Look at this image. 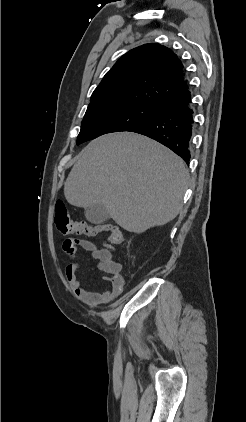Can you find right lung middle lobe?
Here are the masks:
<instances>
[{"instance_id": "1", "label": "right lung middle lobe", "mask_w": 246, "mask_h": 422, "mask_svg": "<svg viewBox=\"0 0 246 422\" xmlns=\"http://www.w3.org/2000/svg\"><path fill=\"white\" fill-rule=\"evenodd\" d=\"M158 115V106L141 103H108L88 107L77 137V144L103 134L129 131Z\"/></svg>"}]
</instances>
